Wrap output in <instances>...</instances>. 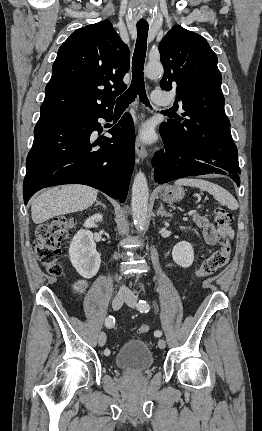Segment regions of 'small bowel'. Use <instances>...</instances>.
<instances>
[{
  "label": "small bowel",
  "mask_w": 262,
  "mask_h": 431,
  "mask_svg": "<svg viewBox=\"0 0 262 431\" xmlns=\"http://www.w3.org/2000/svg\"><path fill=\"white\" fill-rule=\"evenodd\" d=\"M197 225L201 230V233L210 246L217 243L219 236L232 237L233 233L229 227L215 228L213 224L205 217L198 216L196 218Z\"/></svg>",
  "instance_id": "obj_1"
}]
</instances>
